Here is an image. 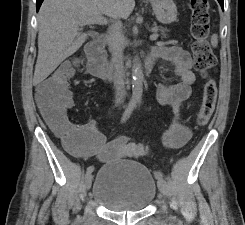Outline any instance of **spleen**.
<instances>
[{
	"label": "spleen",
	"instance_id": "1",
	"mask_svg": "<svg viewBox=\"0 0 245 225\" xmlns=\"http://www.w3.org/2000/svg\"><path fill=\"white\" fill-rule=\"evenodd\" d=\"M211 44H212L213 47L217 46V44H218V36L217 35H212Z\"/></svg>",
	"mask_w": 245,
	"mask_h": 225
}]
</instances>
